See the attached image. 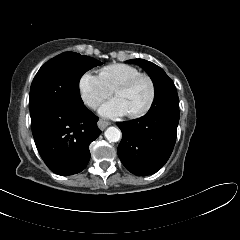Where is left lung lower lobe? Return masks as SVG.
Here are the masks:
<instances>
[{
    "label": "left lung lower lobe",
    "instance_id": "obj_1",
    "mask_svg": "<svg viewBox=\"0 0 240 240\" xmlns=\"http://www.w3.org/2000/svg\"><path fill=\"white\" fill-rule=\"evenodd\" d=\"M179 117L178 107L160 106L142 118L117 122L123 133L117 152L128 171L147 176L167 162L175 145Z\"/></svg>",
    "mask_w": 240,
    "mask_h": 240
}]
</instances>
